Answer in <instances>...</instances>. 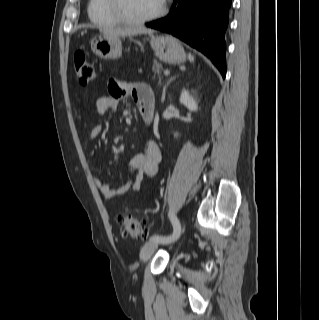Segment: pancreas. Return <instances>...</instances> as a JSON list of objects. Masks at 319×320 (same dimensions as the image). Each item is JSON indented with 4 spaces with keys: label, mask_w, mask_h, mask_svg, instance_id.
<instances>
[{
    "label": "pancreas",
    "mask_w": 319,
    "mask_h": 320,
    "mask_svg": "<svg viewBox=\"0 0 319 320\" xmlns=\"http://www.w3.org/2000/svg\"><path fill=\"white\" fill-rule=\"evenodd\" d=\"M160 69H161V65L157 62V60H154L152 71L156 73L159 77L161 76Z\"/></svg>",
    "instance_id": "cf45deb5"
}]
</instances>
